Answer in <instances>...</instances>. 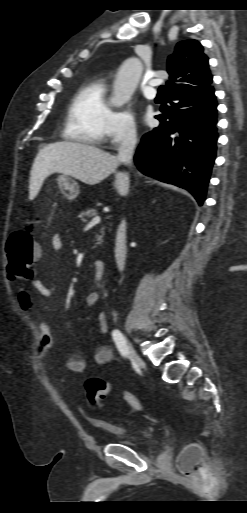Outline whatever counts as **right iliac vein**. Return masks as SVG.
Wrapping results in <instances>:
<instances>
[{
    "instance_id": "obj_1",
    "label": "right iliac vein",
    "mask_w": 247,
    "mask_h": 513,
    "mask_svg": "<svg viewBox=\"0 0 247 513\" xmlns=\"http://www.w3.org/2000/svg\"><path fill=\"white\" fill-rule=\"evenodd\" d=\"M126 343H127V347H128L129 353L132 356L134 363L138 367H143V365H144L143 360L136 353V351L134 350L133 346L131 345V343L127 339H126Z\"/></svg>"
}]
</instances>
